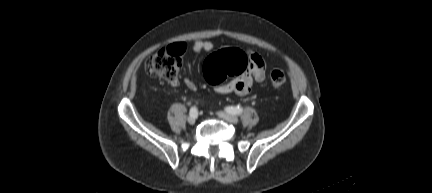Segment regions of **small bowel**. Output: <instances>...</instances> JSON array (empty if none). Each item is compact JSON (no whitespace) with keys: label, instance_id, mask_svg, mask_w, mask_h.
I'll use <instances>...</instances> for the list:
<instances>
[{"label":"small bowel","instance_id":"c3829d8e","mask_svg":"<svg viewBox=\"0 0 432 193\" xmlns=\"http://www.w3.org/2000/svg\"><path fill=\"white\" fill-rule=\"evenodd\" d=\"M214 49V45L210 41L197 40L193 43L192 50L195 53L210 52ZM247 55L250 59V67L240 76L235 77L227 83H220L216 85V91L220 94H236L238 96H246L250 93L254 82H262L266 78V64L264 59L257 53L248 52ZM174 85L177 86L178 82L175 81ZM185 85L194 90L196 88L195 81L187 77Z\"/></svg>","mask_w":432,"mask_h":193}]
</instances>
